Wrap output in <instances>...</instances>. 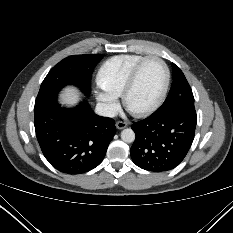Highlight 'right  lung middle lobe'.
<instances>
[{"label":"right lung middle lobe","instance_id":"right-lung-middle-lobe-1","mask_svg":"<svg viewBox=\"0 0 233 233\" xmlns=\"http://www.w3.org/2000/svg\"><path fill=\"white\" fill-rule=\"evenodd\" d=\"M103 58L101 54L69 56L55 65L43 80L36 102L57 93L66 85L78 86L87 96L91 90L93 69Z\"/></svg>","mask_w":233,"mask_h":233}]
</instances>
